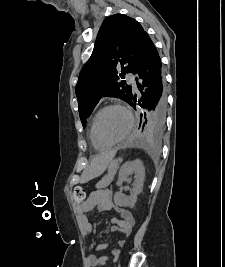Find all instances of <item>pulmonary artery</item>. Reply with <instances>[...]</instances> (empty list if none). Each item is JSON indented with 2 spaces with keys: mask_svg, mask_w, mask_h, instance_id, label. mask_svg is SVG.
Masks as SVG:
<instances>
[{
  "mask_svg": "<svg viewBox=\"0 0 225 267\" xmlns=\"http://www.w3.org/2000/svg\"><path fill=\"white\" fill-rule=\"evenodd\" d=\"M127 78L129 79L130 83L134 90H137L136 82H135V75L133 73H128Z\"/></svg>",
  "mask_w": 225,
  "mask_h": 267,
  "instance_id": "1",
  "label": "pulmonary artery"
}]
</instances>
